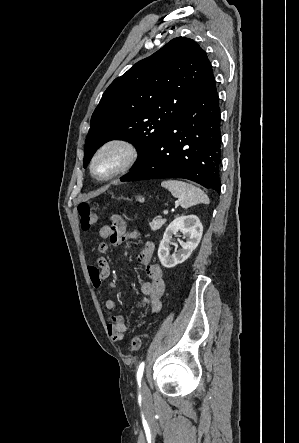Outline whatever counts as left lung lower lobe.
<instances>
[{"label": "left lung lower lobe", "instance_id": "0a47b994", "mask_svg": "<svg viewBox=\"0 0 299 443\" xmlns=\"http://www.w3.org/2000/svg\"><path fill=\"white\" fill-rule=\"evenodd\" d=\"M214 76L121 181L185 178L220 193L221 131Z\"/></svg>", "mask_w": 299, "mask_h": 443}]
</instances>
